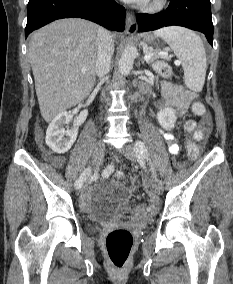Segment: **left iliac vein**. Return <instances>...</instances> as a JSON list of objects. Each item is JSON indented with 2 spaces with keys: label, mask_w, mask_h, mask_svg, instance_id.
Instances as JSON below:
<instances>
[{
  "label": "left iliac vein",
  "mask_w": 233,
  "mask_h": 284,
  "mask_svg": "<svg viewBox=\"0 0 233 284\" xmlns=\"http://www.w3.org/2000/svg\"><path fill=\"white\" fill-rule=\"evenodd\" d=\"M121 152L125 157L132 161H138L139 163L143 162L142 156L138 155L136 148L131 144L125 145ZM151 187L156 194H161L163 191L161 180L155 176L152 178Z\"/></svg>",
  "instance_id": "4c4485c4"
}]
</instances>
